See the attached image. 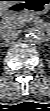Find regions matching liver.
<instances>
[{"instance_id":"obj_1","label":"liver","mask_w":50,"mask_h":111,"mask_svg":"<svg viewBox=\"0 0 50 111\" xmlns=\"http://www.w3.org/2000/svg\"><path fill=\"white\" fill-rule=\"evenodd\" d=\"M15 4H17V2L14 0L1 1L0 2V9L2 11L7 10L8 8L14 6Z\"/></svg>"}]
</instances>
